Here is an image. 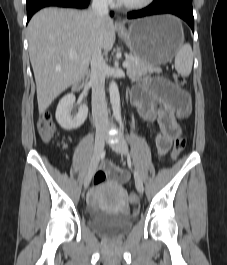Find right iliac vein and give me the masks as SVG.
<instances>
[{
    "label": "right iliac vein",
    "mask_w": 227,
    "mask_h": 265,
    "mask_svg": "<svg viewBox=\"0 0 227 265\" xmlns=\"http://www.w3.org/2000/svg\"><path fill=\"white\" fill-rule=\"evenodd\" d=\"M105 139H106V135L104 133H98L95 137V145H94V153H93V158H92V162L88 171V174L85 178L84 181V188H88L92 176L98 166V163L100 161V158L102 156L103 150H104V145H105Z\"/></svg>",
    "instance_id": "63e3f726"
}]
</instances>
